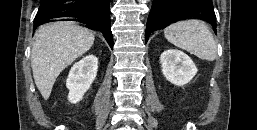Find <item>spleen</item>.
Instances as JSON below:
<instances>
[{
  "mask_svg": "<svg viewBox=\"0 0 257 130\" xmlns=\"http://www.w3.org/2000/svg\"><path fill=\"white\" fill-rule=\"evenodd\" d=\"M165 38L178 48L206 61H214L217 46L207 25L200 20L176 22L164 30Z\"/></svg>",
  "mask_w": 257,
  "mask_h": 130,
  "instance_id": "spleen-1",
  "label": "spleen"
}]
</instances>
